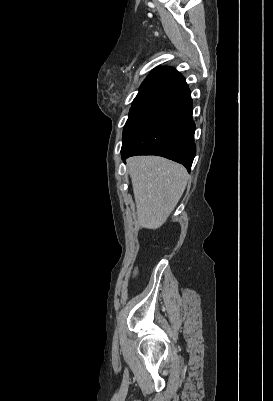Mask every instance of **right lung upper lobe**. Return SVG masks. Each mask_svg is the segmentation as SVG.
<instances>
[{
  "instance_id": "right-lung-upper-lobe-1",
  "label": "right lung upper lobe",
  "mask_w": 273,
  "mask_h": 401,
  "mask_svg": "<svg viewBox=\"0 0 273 401\" xmlns=\"http://www.w3.org/2000/svg\"><path fill=\"white\" fill-rule=\"evenodd\" d=\"M188 88L184 77L174 68L158 67L141 84L137 96L159 95L173 97Z\"/></svg>"
}]
</instances>
